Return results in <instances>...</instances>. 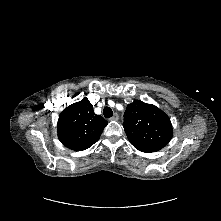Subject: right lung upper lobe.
Wrapping results in <instances>:
<instances>
[{
    "mask_svg": "<svg viewBox=\"0 0 221 221\" xmlns=\"http://www.w3.org/2000/svg\"><path fill=\"white\" fill-rule=\"evenodd\" d=\"M107 121L96 115L87 98L65 108L59 115L58 138L67 148L82 151L101 136Z\"/></svg>",
    "mask_w": 221,
    "mask_h": 221,
    "instance_id": "right-lung-upper-lobe-1",
    "label": "right lung upper lobe"
}]
</instances>
